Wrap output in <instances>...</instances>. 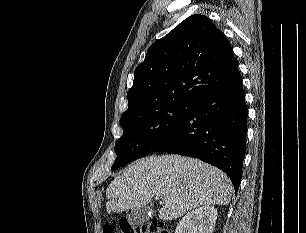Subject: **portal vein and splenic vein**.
<instances>
[{
  "label": "portal vein and splenic vein",
  "instance_id": "18ae733b",
  "mask_svg": "<svg viewBox=\"0 0 306 233\" xmlns=\"http://www.w3.org/2000/svg\"><path fill=\"white\" fill-rule=\"evenodd\" d=\"M156 199H159V196H156Z\"/></svg>",
  "mask_w": 306,
  "mask_h": 233
}]
</instances>
